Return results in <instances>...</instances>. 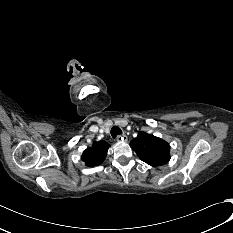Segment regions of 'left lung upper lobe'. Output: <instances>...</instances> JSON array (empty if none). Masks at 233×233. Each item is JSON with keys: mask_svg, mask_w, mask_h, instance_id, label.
Listing matches in <instances>:
<instances>
[{"mask_svg": "<svg viewBox=\"0 0 233 233\" xmlns=\"http://www.w3.org/2000/svg\"><path fill=\"white\" fill-rule=\"evenodd\" d=\"M139 158L151 166H161L170 160V146L161 138L140 132L130 142Z\"/></svg>", "mask_w": 233, "mask_h": 233, "instance_id": "1", "label": "left lung upper lobe"}]
</instances>
